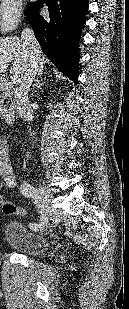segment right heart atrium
Instances as JSON below:
<instances>
[{"mask_svg": "<svg viewBox=\"0 0 129 309\" xmlns=\"http://www.w3.org/2000/svg\"><path fill=\"white\" fill-rule=\"evenodd\" d=\"M22 19L21 0H0V31L14 30Z\"/></svg>", "mask_w": 129, "mask_h": 309, "instance_id": "d8ad5b80", "label": "right heart atrium"}]
</instances>
